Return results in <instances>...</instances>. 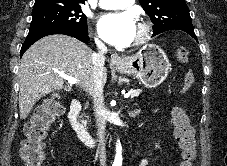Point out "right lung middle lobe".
<instances>
[{"instance_id": "1", "label": "right lung middle lobe", "mask_w": 227, "mask_h": 166, "mask_svg": "<svg viewBox=\"0 0 227 166\" xmlns=\"http://www.w3.org/2000/svg\"><path fill=\"white\" fill-rule=\"evenodd\" d=\"M28 35L53 28L87 31V19L79 4L43 3L34 5Z\"/></svg>"}]
</instances>
